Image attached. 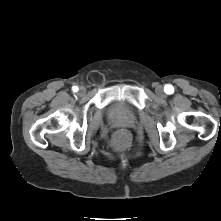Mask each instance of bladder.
Instances as JSON below:
<instances>
[{
	"label": "bladder",
	"mask_w": 221,
	"mask_h": 221,
	"mask_svg": "<svg viewBox=\"0 0 221 221\" xmlns=\"http://www.w3.org/2000/svg\"><path fill=\"white\" fill-rule=\"evenodd\" d=\"M110 115L114 117H121L127 115V112L121 104L115 103L110 107Z\"/></svg>",
	"instance_id": "1"
}]
</instances>
